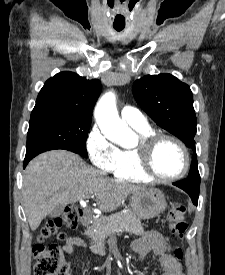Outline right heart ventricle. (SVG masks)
<instances>
[{"label":"right heart ventricle","instance_id":"e07e8e85","mask_svg":"<svg viewBox=\"0 0 225 275\" xmlns=\"http://www.w3.org/2000/svg\"><path fill=\"white\" fill-rule=\"evenodd\" d=\"M142 136H148L153 133L150 127L135 128ZM116 178L135 183L149 182L150 178L145 176L138 167V156L135 149H125L120 151L118 163L112 170Z\"/></svg>","mask_w":225,"mask_h":275}]
</instances>
